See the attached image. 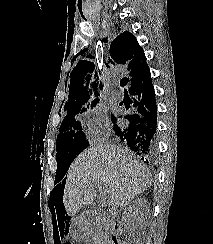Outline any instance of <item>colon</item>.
<instances>
[{
	"label": "colon",
	"instance_id": "colon-1",
	"mask_svg": "<svg viewBox=\"0 0 213 244\" xmlns=\"http://www.w3.org/2000/svg\"><path fill=\"white\" fill-rule=\"evenodd\" d=\"M63 244H73V243H72V242L67 241V242H64Z\"/></svg>",
	"mask_w": 213,
	"mask_h": 244
}]
</instances>
